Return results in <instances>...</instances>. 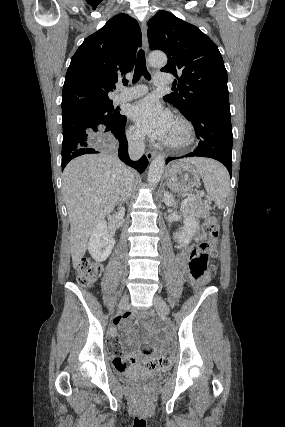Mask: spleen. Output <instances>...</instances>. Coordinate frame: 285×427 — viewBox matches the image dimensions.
Instances as JSON below:
<instances>
[{
	"label": "spleen",
	"instance_id": "obj_1",
	"mask_svg": "<svg viewBox=\"0 0 285 427\" xmlns=\"http://www.w3.org/2000/svg\"><path fill=\"white\" fill-rule=\"evenodd\" d=\"M201 176L204 187L216 206L224 208L225 200L230 190V177L226 168L213 160L208 163L195 165Z\"/></svg>",
	"mask_w": 285,
	"mask_h": 427
}]
</instances>
